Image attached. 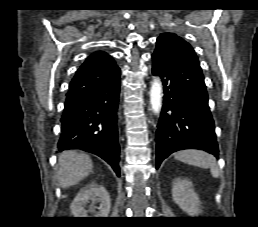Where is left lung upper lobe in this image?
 <instances>
[{
	"mask_svg": "<svg viewBox=\"0 0 258 227\" xmlns=\"http://www.w3.org/2000/svg\"><path fill=\"white\" fill-rule=\"evenodd\" d=\"M157 46L166 47L183 57L187 58L188 60L192 61L193 63L197 64L199 67L198 58L193 50V48L182 38L177 36L173 33H162L157 38Z\"/></svg>",
	"mask_w": 258,
	"mask_h": 227,
	"instance_id": "5c2ea615",
	"label": "left lung upper lobe"
}]
</instances>
